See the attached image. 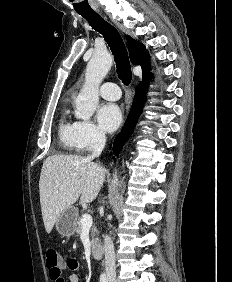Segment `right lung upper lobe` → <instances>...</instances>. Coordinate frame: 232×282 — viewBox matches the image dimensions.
Here are the masks:
<instances>
[{
    "instance_id": "1",
    "label": "right lung upper lobe",
    "mask_w": 232,
    "mask_h": 282,
    "mask_svg": "<svg viewBox=\"0 0 232 282\" xmlns=\"http://www.w3.org/2000/svg\"><path fill=\"white\" fill-rule=\"evenodd\" d=\"M128 42L130 60L135 65H141L143 75L149 74V55L146 52L143 44L132 39L130 36H126Z\"/></svg>"
}]
</instances>
